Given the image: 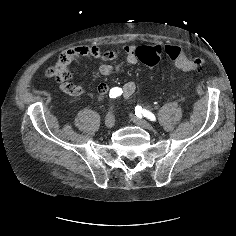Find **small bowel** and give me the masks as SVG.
<instances>
[{
	"mask_svg": "<svg viewBox=\"0 0 236 236\" xmlns=\"http://www.w3.org/2000/svg\"><path fill=\"white\" fill-rule=\"evenodd\" d=\"M151 48H162L157 44L145 45ZM138 47L134 45H126L123 49L124 58L118 62L110 63L119 60L120 52L118 51H102L101 48L96 45H78L70 49L64 50L62 55L66 56L71 62L79 58H93L102 62L99 66V73L102 76H110L114 73L119 72L126 64L127 65H136L138 58L136 56V51ZM72 73L69 69V73L66 79L60 81L59 88L64 93L73 96L80 97L84 95L87 91L85 86L77 85L72 83ZM109 86L106 83H100L97 86V91L99 94L104 95L108 92ZM136 90V84L132 81L127 82L123 85L122 91L124 97H130Z\"/></svg>",
	"mask_w": 236,
	"mask_h": 236,
	"instance_id": "1",
	"label": "small bowel"
}]
</instances>
